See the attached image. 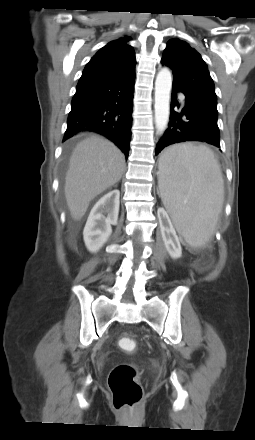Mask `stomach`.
I'll list each match as a JSON object with an SVG mask.
<instances>
[{
  "label": "stomach",
  "instance_id": "0dacf381",
  "mask_svg": "<svg viewBox=\"0 0 255 440\" xmlns=\"http://www.w3.org/2000/svg\"><path fill=\"white\" fill-rule=\"evenodd\" d=\"M159 164H162V159L160 158Z\"/></svg>",
  "mask_w": 255,
  "mask_h": 440
}]
</instances>
